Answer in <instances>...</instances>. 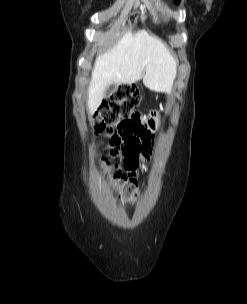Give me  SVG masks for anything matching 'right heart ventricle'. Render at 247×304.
Returning <instances> with one entry per match:
<instances>
[{"instance_id": "1", "label": "right heart ventricle", "mask_w": 247, "mask_h": 304, "mask_svg": "<svg viewBox=\"0 0 247 304\" xmlns=\"http://www.w3.org/2000/svg\"><path fill=\"white\" fill-rule=\"evenodd\" d=\"M160 14L162 15V14H163V12H162V11H160Z\"/></svg>"}]
</instances>
